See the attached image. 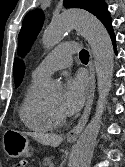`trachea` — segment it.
I'll list each match as a JSON object with an SVG mask.
<instances>
[{"instance_id":"trachea-1","label":"trachea","mask_w":125,"mask_h":167,"mask_svg":"<svg viewBox=\"0 0 125 167\" xmlns=\"http://www.w3.org/2000/svg\"><path fill=\"white\" fill-rule=\"evenodd\" d=\"M79 57H80L81 61L88 62V60H89V53H88V51L82 50L79 53Z\"/></svg>"}]
</instances>
